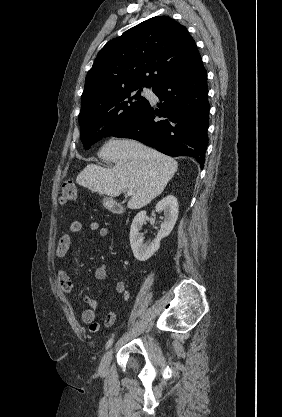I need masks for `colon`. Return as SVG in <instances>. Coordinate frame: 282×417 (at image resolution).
<instances>
[{"instance_id": "1", "label": "colon", "mask_w": 282, "mask_h": 417, "mask_svg": "<svg viewBox=\"0 0 282 417\" xmlns=\"http://www.w3.org/2000/svg\"><path fill=\"white\" fill-rule=\"evenodd\" d=\"M77 194H78L77 184L69 181V182H65L62 184L59 190L58 198L63 203L71 202L75 200Z\"/></svg>"}]
</instances>
